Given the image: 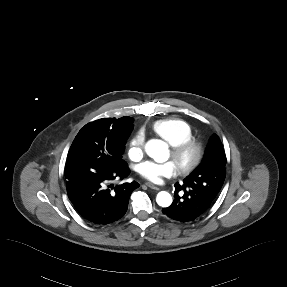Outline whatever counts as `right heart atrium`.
Instances as JSON below:
<instances>
[{
  "label": "right heart atrium",
  "instance_id": "right-heart-atrium-1",
  "mask_svg": "<svg viewBox=\"0 0 287 287\" xmlns=\"http://www.w3.org/2000/svg\"><path fill=\"white\" fill-rule=\"evenodd\" d=\"M145 148V138L141 131L137 132L130 140L128 145V156L130 159L137 161L143 156Z\"/></svg>",
  "mask_w": 287,
  "mask_h": 287
}]
</instances>
